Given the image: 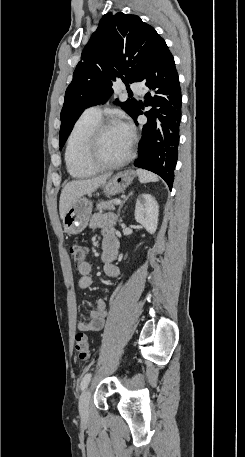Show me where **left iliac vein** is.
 <instances>
[{"mask_svg":"<svg viewBox=\"0 0 245 457\" xmlns=\"http://www.w3.org/2000/svg\"><path fill=\"white\" fill-rule=\"evenodd\" d=\"M90 390H86L79 400V412L82 418L87 419L89 415Z\"/></svg>","mask_w":245,"mask_h":457,"instance_id":"obj_1","label":"left iliac vein"}]
</instances>
